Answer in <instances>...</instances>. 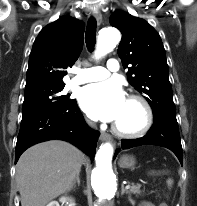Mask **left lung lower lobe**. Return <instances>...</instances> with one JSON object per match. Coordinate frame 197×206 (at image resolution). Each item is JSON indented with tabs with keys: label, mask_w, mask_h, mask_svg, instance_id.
<instances>
[{
	"label": "left lung lower lobe",
	"mask_w": 197,
	"mask_h": 206,
	"mask_svg": "<svg viewBox=\"0 0 197 206\" xmlns=\"http://www.w3.org/2000/svg\"><path fill=\"white\" fill-rule=\"evenodd\" d=\"M142 145H158L170 149L178 157L181 165L182 146L177 120L170 118H156L148 133L137 139H122L121 148L129 149ZM117 153H115V156Z\"/></svg>",
	"instance_id": "obj_1"
}]
</instances>
